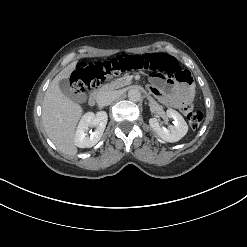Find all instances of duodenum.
Returning a JSON list of instances; mask_svg holds the SVG:
<instances>
[{
  "label": "duodenum",
  "instance_id": "410a0bca",
  "mask_svg": "<svg viewBox=\"0 0 247 247\" xmlns=\"http://www.w3.org/2000/svg\"><path fill=\"white\" fill-rule=\"evenodd\" d=\"M101 99V91L95 90L90 94L89 103L93 106L98 105Z\"/></svg>",
  "mask_w": 247,
  "mask_h": 247
}]
</instances>
